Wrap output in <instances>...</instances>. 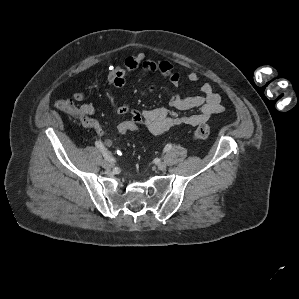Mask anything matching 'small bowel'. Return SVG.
Instances as JSON below:
<instances>
[{
    "label": "small bowel",
    "mask_w": 299,
    "mask_h": 299,
    "mask_svg": "<svg viewBox=\"0 0 299 299\" xmlns=\"http://www.w3.org/2000/svg\"><path fill=\"white\" fill-rule=\"evenodd\" d=\"M138 68L143 69L154 78L158 76L166 77L174 87L179 85L180 75L174 70L170 61L148 60L144 52L127 57L123 66H117L107 73L105 81L109 86L123 88L128 73ZM198 79L197 73L191 72L188 74L190 82L195 83ZM155 88L154 80L150 79L143 85L142 93L144 95L152 93ZM201 93V95L189 97L174 95L169 101V107H156L139 111L131 109L129 105L123 103L117 107L116 111L119 115H130V118L135 119L141 127H145L153 135H162L177 126H197L206 122L211 116L224 111L225 108L220 95L213 91L210 84H203ZM73 97L77 101L84 100V94L80 91L74 92ZM81 109L87 116H91L94 113V106L90 103L83 104ZM188 111L194 112L181 114V112ZM87 127L94 129L98 135L103 134L101 125L92 118H90V123ZM105 146L111 147L112 141L106 139Z\"/></svg>",
    "instance_id": "obj_1"
}]
</instances>
